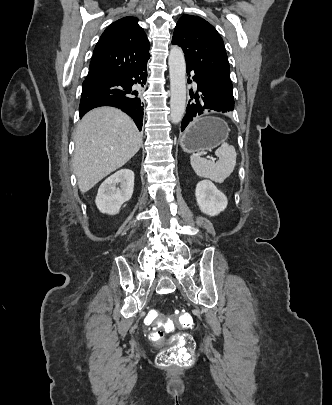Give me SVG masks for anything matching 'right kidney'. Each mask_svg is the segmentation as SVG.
<instances>
[{"label": "right kidney", "mask_w": 332, "mask_h": 405, "mask_svg": "<svg viewBox=\"0 0 332 405\" xmlns=\"http://www.w3.org/2000/svg\"><path fill=\"white\" fill-rule=\"evenodd\" d=\"M133 190L134 172L122 169L101 184L95 199L96 206L102 213L118 214L122 204L131 199Z\"/></svg>", "instance_id": "obj_1"}]
</instances>
